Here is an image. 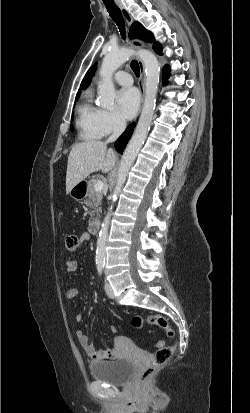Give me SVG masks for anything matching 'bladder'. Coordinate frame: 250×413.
<instances>
[{
	"label": "bladder",
	"instance_id": "1",
	"mask_svg": "<svg viewBox=\"0 0 250 413\" xmlns=\"http://www.w3.org/2000/svg\"><path fill=\"white\" fill-rule=\"evenodd\" d=\"M133 362L128 358H117L111 361H97L89 364L93 379L111 385H123L131 377Z\"/></svg>",
	"mask_w": 250,
	"mask_h": 413
}]
</instances>
